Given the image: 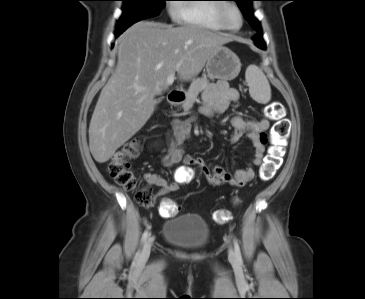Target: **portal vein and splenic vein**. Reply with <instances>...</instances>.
<instances>
[{
	"mask_svg": "<svg viewBox=\"0 0 365 299\" xmlns=\"http://www.w3.org/2000/svg\"><path fill=\"white\" fill-rule=\"evenodd\" d=\"M175 80V73H172L171 75H169L166 79V85L169 86V85H172L173 82Z\"/></svg>",
	"mask_w": 365,
	"mask_h": 299,
	"instance_id": "1",
	"label": "portal vein and splenic vein"
}]
</instances>
